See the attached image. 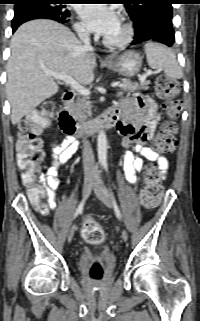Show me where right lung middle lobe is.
<instances>
[{
    "instance_id": "obj_1",
    "label": "right lung middle lobe",
    "mask_w": 200,
    "mask_h": 321,
    "mask_svg": "<svg viewBox=\"0 0 200 321\" xmlns=\"http://www.w3.org/2000/svg\"><path fill=\"white\" fill-rule=\"evenodd\" d=\"M69 0H24L15 5V11L27 8L49 10L59 16L69 18L70 11L66 8Z\"/></svg>"
}]
</instances>
